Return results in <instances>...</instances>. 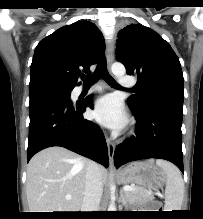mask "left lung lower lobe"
Returning <instances> with one entry per match:
<instances>
[{"mask_svg":"<svg viewBox=\"0 0 203 219\" xmlns=\"http://www.w3.org/2000/svg\"><path fill=\"white\" fill-rule=\"evenodd\" d=\"M129 105V104H128ZM129 107L137 119L136 136L116 147L114 164L157 158L174 163L183 173L181 103H152L139 111Z\"/></svg>","mask_w":203,"mask_h":219,"instance_id":"0a47b994","label":"left lung lower lobe"}]
</instances>
